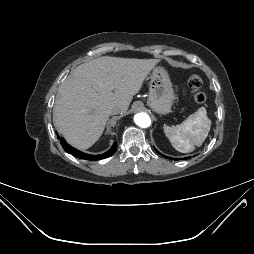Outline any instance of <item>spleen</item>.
Segmentation results:
<instances>
[{
    "label": "spleen",
    "mask_w": 254,
    "mask_h": 254,
    "mask_svg": "<svg viewBox=\"0 0 254 254\" xmlns=\"http://www.w3.org/2000/svg\"><path fill=\"white\" fill-rule=\"evenodd\" d=\"M211 120L206 109L200 107L176 127L164 126V133L172 146L179 152L188 153L201 146L208 136Z\"/></svg>",
    "instance_id": "obj_1"
}]
</instances>
